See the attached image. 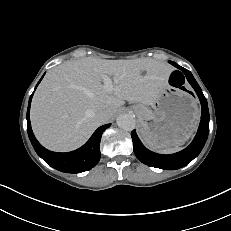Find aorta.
I'll use <instances>...</instances> for the list:
<instances>
[{
	"label": "aorta",
	"mask_w": 231,
	"mask_h": 231,
	"mask_svg": "<svg viewBox=\"0 0 231 231\" xmlns=\"http://www.w3.org/2000/svg\"><path fill=\"white\" fill-rule=\"evenodd\" d=\"M116 123L118 127L125 131H132L135 128L136 122L133 116L129 114H121L117 117Z\"/></svg>",
	"instance_id": "1"
}]
</instances>
